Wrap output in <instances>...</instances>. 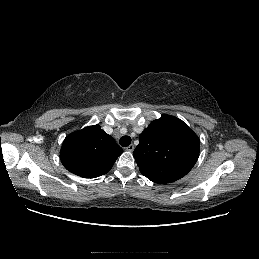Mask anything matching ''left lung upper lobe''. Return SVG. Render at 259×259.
<instances>
[{"instance_id": "1", "label": "left lung upper lobe", "mask_w": 259, "mask_h": 259, "mask_svg": "<svg viewBox=\"0 0 259 259\" xmlns=\"http://www.w3.org/2000/svg\"><path fill=\"white\" fill-rule=\"evenodd\" d=\"M200 140L182 120L162 115L140 135L133 156L141 173L156 183L185 176L199 157Z\"/></svg>"}]
</instances>
